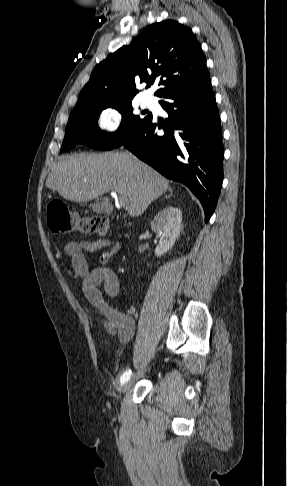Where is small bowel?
<instances>
[{
	"mask_svg": "<svg viewBox=\"0 0 287 486\" xmlns=\"http://www.w3.org/2000/svg\"><path fill=\"white\" fill-rule=\"evenodd\" d=\"M100 266L89 269L86 253L99 252ZM120 244L109 239L72 240L64 245V252L71 258V264L75 273L82 278V290L87 300L101 313L108 332L118 338L121 343L129 342L135 333V306H130L125 311H120L110 306L103 292L109 297H116L120 292V283L116 273L109 268L110 259L119 251Z\"/></svg>",
	"mask_w": 287,
	"mask_h": 486,
	"instance_id": "obj_1",
	"label": "small bowel"
}]
</instances>
